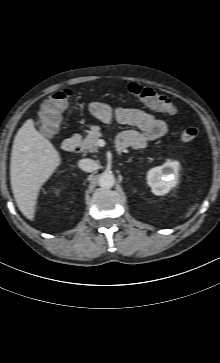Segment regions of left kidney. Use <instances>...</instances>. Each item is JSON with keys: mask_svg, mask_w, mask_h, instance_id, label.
Wrapping results in <instances>:
<instances>
[{"mask_svg": "<svg viewBox=\"0 0 220 363\" xmlns=\"http://www.w3.org/2000/svg\"><path fill=\"white\" fill-rule=\"evenodd\" d=\"M179 170L178 162H166L152 168L147 173V183L155 195H165L176 183Z\"/></svg>", "mask_w": 220, "mask_h": 363, "instance_id": "5707ae66", "label": "left kidney"}]
</instances>
